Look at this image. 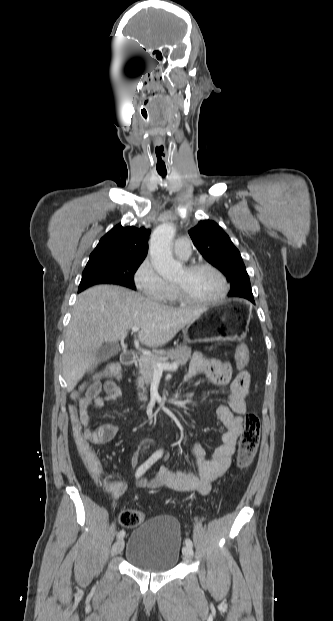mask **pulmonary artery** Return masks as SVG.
Returning a JSON list of instances; mask_svg holds the SVG:
<instances>
[{
  "label": "pulmonary artery",
  "mask_w": 333,
  "mask_h": 621,
  "mask_svg": "<svg viewBox=\"0 0 333 621\" xmlns=\"http://www.w3.org/2000/svg\"><path fill=\"white\" fill-rule=\"evenodd\" d=\"M174 254L182 259L187 260L191 255V242L187 238H179L175 241L173 247Z\"/></svg>",
  "instance_id": "e3ab8cb5"
}]
</instances>
